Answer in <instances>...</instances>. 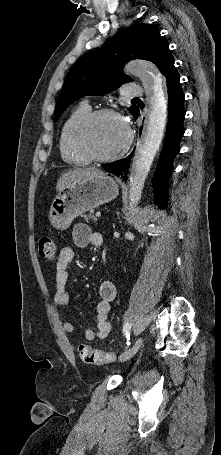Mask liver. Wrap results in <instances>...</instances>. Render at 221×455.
<instances>
[{"mask_svg":"<svg viewBox=\"0 0 221 455\" xmlns=\"http://www.w3.org/2000/svg\"><path fill=\"white\" fill-rule=\"evenodd\" d=\"M103 172L97 168H76L64 173L57 181L56 190L61 191L64 187L74 181L93 178L102 175Z\"/></svg>","mask_w":221,"mask_h":455,"instance_id":"1","label":"liver"}]
</instances>
